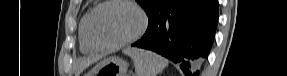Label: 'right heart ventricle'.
Instances as JSON below:
<instances>
[{"instance_id": "right-heart-ventricle-1", "label": "right heart ventricle", "mask_w": 287, "mask_h": 76, "mask_svg": "<svg viewBox=\"0 0 287 76\" xmlns=\"http://www.w3.org/2000/svg\"><path fill=\"white\" fill-rule=\"evenodd\" d=\"M91 11L89 10L83 15L79 26L80 49L86 54L96 53L100 49L91 41L87 32V20Z\"/></svg>"}]
</instances>
